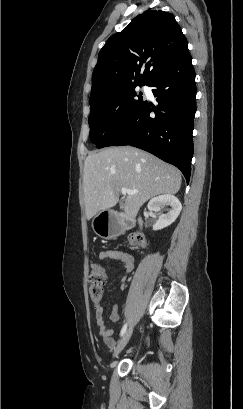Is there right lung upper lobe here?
I'll use <instances>...</instances> for the list:
<instances>
[{
    "label": "right lung upper lobe",
    "mask_w": 243,
    "mask_h": 409,
    "mask_svg": "<svg viewBox=\"0 0 243 409\" xmlns=\"http://www.w3.org/2000/svg\"><path fill=\"white\" fill-rule=\"evenodd\" d=\"M186 47L173 14L147 10L136 16L99 52L90 103L133 84L149 85Z\"/></svg>",
    "instance_id": "1"
}]
</instances>
